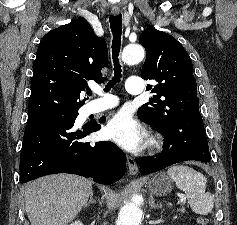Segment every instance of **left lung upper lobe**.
<instances>
[{"mask_svg": "<svg viewBox=\"0 0 237 225\" xmlns=\"http://www.w3.org/2000/svg\"><path fill=\"white\" fill-rule=\"evenodd\" d=\"M139 42L146 50L141 77L157 82L147 86L154 95L139 108V118L161 132L199 109L193 65L183 46L165 32L148 27Z\"/></svg>", "mask_w": 237, "mask_h": 225, "instance_id": "1", "label": "left lung upper lobe"}]
</instances>
